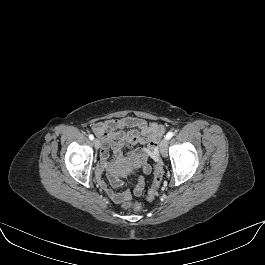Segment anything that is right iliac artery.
Here are the masks:
<instances>
[{"label":"right iliac artery","instance_id":"82829eb1","mask_svg":"<svg viewBox=\"0 0 265 265\" xmlns=\"http://www.w3.org/2000/svg\"><path fill=\"white\" fill-rule=\"evenodd\" d=\"M89 139L90 140H93L94 139V136L92 134L89 135Z\"/></svg>","mask_w":265,"mask_h":265}]
</instances>
